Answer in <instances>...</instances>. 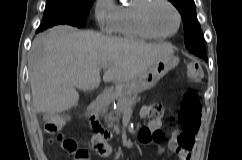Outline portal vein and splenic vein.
Returning a JSON list of instances; mask_svg holds the SVG:
<instances>
[{
	"mask_svg": "<svg viewBox=\"0 0 242 160\" xmlns=\"http://www.w3.org/2000/svg\"><path fill=\"white\" fill-rule=\"evenodd\" d=\"M102 68L103 69H107V68H109V66L108 65H103Z\"/></svg>",
	"mask_w": 242,
	"mask_h": 160,
	"instance_id": "18ae733b",
	"label": "portal vein and splenic vein"
}]
</instances>
